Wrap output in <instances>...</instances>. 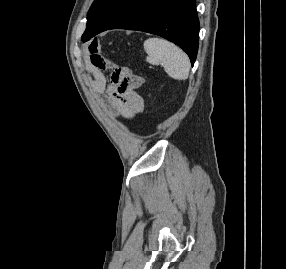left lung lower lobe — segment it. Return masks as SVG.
<instances>
[{
    "label": "left lung lower lobe",
    "mask_w": 286,
    "mask_h": 269,
    "mask_svg": "<svg viewBox=\"0 0 286 269\" xmlns=\"http://www.w3.org/2000/svg\"><path fill=\"white\" fill-rule=\"evenodd\" d=\"M117 28L144 31L166 38L188 54L192 66L195 62L199 40L195 0H143L101 32Z\"/></svg>",
    "instance_id": "0a47b994"
}]
</instances>
